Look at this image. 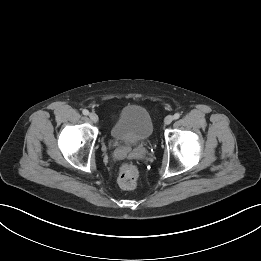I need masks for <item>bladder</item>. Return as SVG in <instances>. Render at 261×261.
Masks as SVG:
<instances>
[{
    "mask_svg": "<svg viewBox=\"0 0 261 261\" xmlns=\"http://www.w3.org/2000/svg\"><path fill=\"white\" fill-rule=\"evenodd\" d=\"M153 121L150 113L140 105H127L112 124V138L122 144L133 146L150 138Z\"/></svg>",
    "mask_w": 261,
    "mask_h": 261,
    "instance_id": "obj_1",
    "label": "bladder"
}]
</instances>
